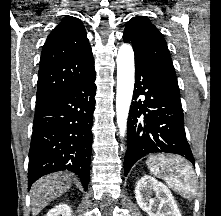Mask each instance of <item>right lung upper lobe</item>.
I'll return each mask as SVG.
<instances>
[{"mask_svg":"<svg viewBox=\"0 0 221 216\" xmlns=\"http://www.w3.org/2000/svg\"><path fill=\"white\" fill-rule=\"evenodd\" d=\"M95 74L92 50L83 23L67 17L43 46L37 82L36 108Z\"/></svg>","mask_w":221,"mask_h":216,"instance_id":"right-lung-upper-lobe-1","label":"right lung upper lobe"}]
</instances>
